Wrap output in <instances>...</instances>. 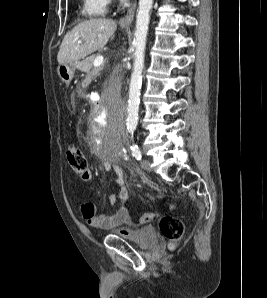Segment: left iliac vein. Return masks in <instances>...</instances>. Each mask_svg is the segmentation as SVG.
I'll return each mask as SVG.
<instances>
[{
    "instance_id": "4c4485c4",
    "label": "left iliac vein",
    "mask_w": 267,
    "mask_h": 298,
    "mask_svg": "<svg viewBox=\"0 0 267 298\" xmlns=\"http://www.w3.org/2000/svg\"><path fill=\"white\" fill-rule=\"evenodd\" d=\"M141 167L146 170V171H150L151 170V164L150 161L147 159H143L141 161Z\"/></svg>"
}]
</instances>
